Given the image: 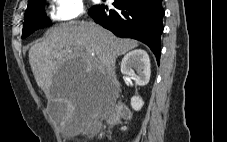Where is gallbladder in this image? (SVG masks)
<instances>
[{
	"mask_svg": "<svg viewBox=\"0 0 227 142\" xmlns=\"http://www.w3.org/2000/svg\"><path fill=\"white\" fill-rule=\"evenodd\" d=\"M51 119L59 123L67 114V105L64 102H51L47 107Z\"/></svg>",
	"mask_w": 227,
	"mask_h": 142,
	"instance_id": "bac80fb5",
	"label": "gallbladder"
}]
</instances>
